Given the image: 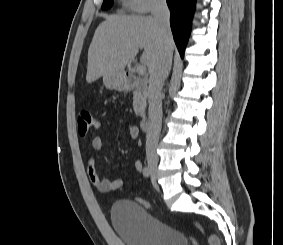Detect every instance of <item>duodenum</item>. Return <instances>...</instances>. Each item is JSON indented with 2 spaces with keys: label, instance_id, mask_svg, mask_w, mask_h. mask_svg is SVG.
<instances>
[{
  "label": "duodenum",
  "instance_id": "obj_1",
  "mask_svg": "<svg viewBox=\"0 0 283 245\" xmlns=\"http://www.w3.org/2000/svg\"><path fill=\"white\" fill-rule=\"evenodd\" d=\"M143 85L142 80L133 73H127L124 76L123 80V88L126 90H134L139 89ZM150 121L149 117L146 113L141 116L140 119V127L143 131H147L149 129Z\"/></svg>",
  "mask_w": 283,
  "mask_h": 245
}]
</instances>
